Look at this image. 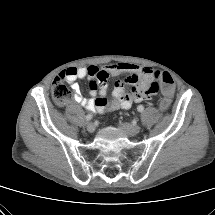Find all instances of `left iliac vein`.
<instances>
[{"label":"left iliac vein","mask_w":215,"mask_h":215,"mask_svg":"<svg viewBox=\"0 0 215 215\" xmlns=\"http://www.w3.org/2000/svg\"><path fill=\"white\" fill-rule=\"evenodd\" d=\"M119 127L129 136H134L141 131V127L139 125H132L129 123H120Z\"/></svg>","instance_id":"1"}]
</instances>
